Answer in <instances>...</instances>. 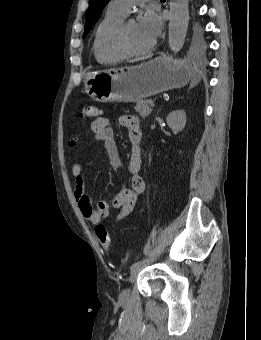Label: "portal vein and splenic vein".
Wrapping results in <instances>:
<instances>
[{
	"mask_svg": "<svg viewBox=\"0 0 261 340\" xmlns=\"http://www.w3.org/2000/svg\"><path fill=\"white\" fill-rule=\"evenodd\" d=\"M151 108H154L155 107V103H151Z\"/></svg>",
	"mask_w": 261,
	"mask_h": 340,
	"instance_id": "portal-vein-and-splenic-vein-1",
	"label": "portal vein and splenic vein"
}]
</instances>
